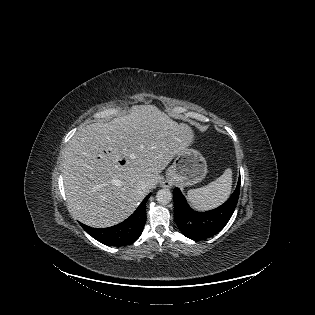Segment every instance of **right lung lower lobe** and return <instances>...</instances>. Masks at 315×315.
I'll list each match as a JSON object with an SVG mask.
<instances>
[{
  "mask_svg": "<svg viewBox=\"0 0 315 315\" xmlns=\"http://www.w3.org/2000/svg\"><path fill=\"white\" fill-rule=\"evenodd\" d=\"M151 193L145 197L136 211L125 221L108 228H92L82 223V228L99 242L109 246H123L135 242L142 234L146 222V203Z\"/></svg>",
  "mask_w": 315,
  "mask_h": 315,
  "instance_id": "obj_1",
  "label": "right lung lower lobe"
}]
</instances>
